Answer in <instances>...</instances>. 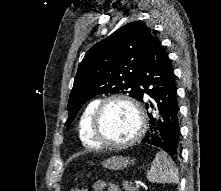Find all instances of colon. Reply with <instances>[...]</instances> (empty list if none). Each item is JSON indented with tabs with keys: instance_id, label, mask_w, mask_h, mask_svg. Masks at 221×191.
Instances as JSON below:
<instances>
[{
	"instance_id": "5ec220e1",
	"label": "colon",
	"mask_w": 221,
	"mask_h": 191,
	"mask_svg": "<svg viewBox=\"0 0 221 191\" xmlns=\"http://www.w3.org/2000/svg\"><path fill=\"white\" fill-rule=\"evenodd\" d=\"M70 191H86V189L80 186H75Z\"/></svg>"
}]
</instances>
